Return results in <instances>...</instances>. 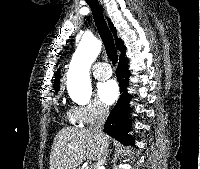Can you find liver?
<instances>
[{
    "instance_id": "obj_1",
    "label": "liver",
    "mask_w": 200,
    "mask_h": 169,
    "mask_svg": "<svg viewBox=\"0 0 200 169\" xmlns=\"http://www.w3.org/2000/svg\"><path fill=\"white\" fill-rule=\"evenodd\" d=\"M108 137L90 129L65 127L54 138L50 153V169H77L86 159L99 160L103 156Z\"/></svg>"
}]
</instances>
